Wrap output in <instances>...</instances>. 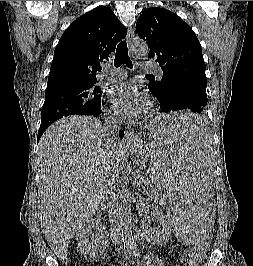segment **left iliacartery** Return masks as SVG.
I'll return each instance as SVG.
<instances>
[{"instance_id":"1","label":"left iliac artery","mask_w":253,"mask_h":266,"mask_svg":"<svg viewBox=\"0 0 253 266\" xmlns=\"http://www.w3.org/2000/svg\"><path fill=\"white\" fill-rule=\"evenodd\" d=\"M132 249H133V254L135 256H137V257H140L141 256L136 245H134Z\"/></svg>"}]
</instances>
